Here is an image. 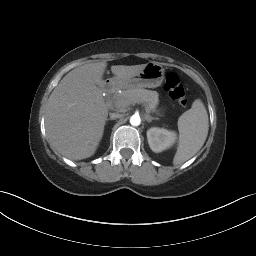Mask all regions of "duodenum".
Masks as SVG:
<instances>
[{"label": "duodenum", "instance_id": "obj_1", "mask_svg": "<svg viewBox=\"0 0 256 256\" xmlns=\"http://www.w3.org/2000/svg\"><path fill=\"white\" fill-rule=\"evenodd\" d=\"M102 89L106 92L112 91L115 89V82L112 80H108L106 81L103 86Z\"/></svg>", "mask_w": 256, "mask_h": 256}]
</instances>
